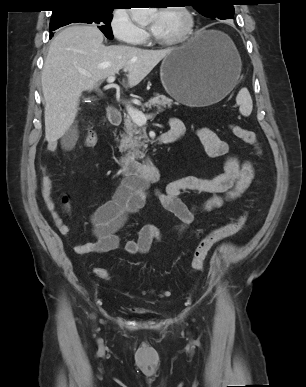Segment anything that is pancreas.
Returning a JSON list of instances; mask_svg holds the SVG:
<instances>
[{
  "mask_svg": "<svg viewBox=\"0 0 306 387\" xmlns=\"http://www.w3.org/2000/svg\"><path fill=\"white\" fill-rule=\"evenodd\" d=\"M173 104V100L165 95L156 94L148 102L144 103L142 110L145 108L151 109L156 107L158 111H163L164 108H170ZM124 133L121 134V140L119 145L120 152H127V156L135 159H143L145 156V150L147 149V143L149 142L145 129H141L135 124L129 115L124 117Z\"/></svg>",
  "mask_w": 306,
  "mask_h": 387,
  "instance_id": "obj_1",
  "label": "pancreas"
}]
</instances>
